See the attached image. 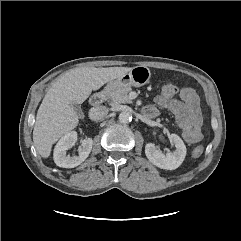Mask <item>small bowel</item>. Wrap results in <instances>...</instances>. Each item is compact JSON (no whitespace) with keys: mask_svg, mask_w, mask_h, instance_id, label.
Wrapping results in <instances>:
<instances>
[{"mask_svg":"<svg viewBox=\"0 0 241 241\" xmlns=\"http://www.w3.org/2000/svg\"><path fill=\"white\" fill-rule=\"evenodd\" d=\"M160 107L174 113L183 138L188 143L195 144L201 140L202 114L199 97L194 89L187 86L180 88L179 99H166L162 95H158L155 105H149L145 110L153 113L155 117L158 115Z\"/></svg>","mask_w":241,"mask_h":241,"instance_id":"obj_1","label":"small bowel"}]
</instances>
